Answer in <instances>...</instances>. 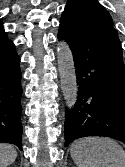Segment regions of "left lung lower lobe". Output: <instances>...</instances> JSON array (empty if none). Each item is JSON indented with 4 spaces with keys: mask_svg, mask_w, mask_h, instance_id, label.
<instances>
[{
    "mask_svg": "<svg viewBox=\"0 0 125 167\" xmlns=\"http://www.w3.org/2000/svg\"><path fill=\"white\" fill-rule=\"evenodd\" d=\"M58 39L70 46L78 85L77 101L66 110L65 146L87 136L125 143V65L116 29L60 22Z\"/></svg>",
    "mask_w": 125,
    "mask_h": 167,
    "instance_id": "0a47b994",
    "label": "left lung lower lobe"
}]
</instances>
